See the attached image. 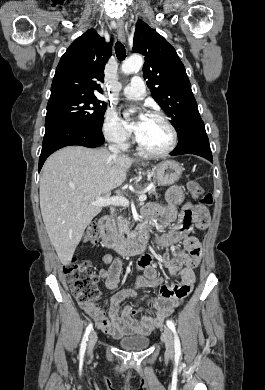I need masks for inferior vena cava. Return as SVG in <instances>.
I'll return each mask as SVG.
<instances>
[{"label":"inferior vena cava","instance_id":"obj_1","mask_svg":"<svg viewBox=\"0 0 265 390\" xmlns=\"http://www.w3.org/2000/svg\"><path fill=\"white\" fill-rule=\"evenodd\" d=\"M109 150L114 154L117 155L119 153V149L116 146H109Z\"/></svg>","mask_w":265,"mask_h":390}]
</instances>
